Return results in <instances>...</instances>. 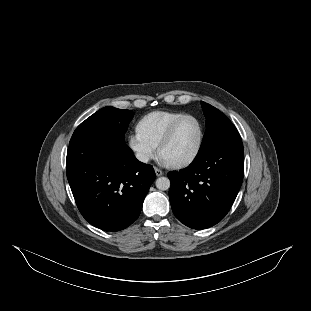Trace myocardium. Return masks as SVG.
I'll list each match as a JSON object with an SVG mask.
<instances>
[{
  "label": "myocardium",
  "mask_w": 311,
  "mask_h": 311,
  "mask_svg": "<svg viewBox=\"0 0 311 311\" xmlns=\"http://www.w3.org/2000/svg\"><path fill=\"white\" fill-rule=\"evenodd\" d=\"M188 118L197 119L201 125V138L199 141V145L197 147L196 152L194 153V155L190 159L183 161V162H180V163H175V164L166 163V165L172 169H182V168H186V167L193 165L199 159V157L203 151L204 145H205L206 136H207V128H206L204 121L202 120L201 117H199L196 114H192V113L185 114L184 116L179 118L171 126V128L168 130V132L165 134V136L160 141V143L157 147V153H158L159 158L161 159V154H162L163 150L173 141V139L176 135V132H177L178 128L180 127V125Z\"/></svg>",
  "instance_id": "myocardium-1"
}]
</instances>
